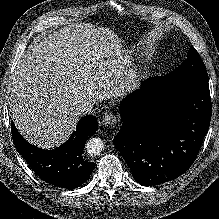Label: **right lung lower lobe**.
Listing matches in <instances>:
<instances>
[{"label": "right lung lower lobe", "mask_w": 219, "mask_h": 219, "mask_svg": "<svg viewBox=\"0 0 219 219\" xmlns=\"http://www.w3.org/2000/svg\"><path fill=\"white\" fill-rule=\"evenodd\" d=\"M97 129L96 117L84 116L64 145L44 150L29 144L11 124L14 145L32 170L47 183L68 189L81 186L94 169L95 163L85 159L83 149Z\"/></svg>", "instance_id": "1"}]
</instances>
